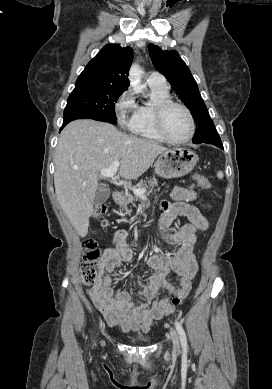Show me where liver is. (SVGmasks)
<instances>
[{"mask_svg":"<svg viewBox=\"0 0 272 389\" xmlns=\"http://www.w3.org/2000/svg\"><path fill=\"white\" fill-rule=\"evenodd\" d=\"M166 150L155 141L126 135L109 123L86 119L69 123L55 149L54 186L57 200L79 236L88 233L102 169L119 160V175L137 179Z\"/></svg>","mask_w":272,"mask_h":389,"instance_id":"obj_1","label":"liver"}]
</instances>
